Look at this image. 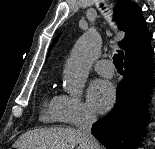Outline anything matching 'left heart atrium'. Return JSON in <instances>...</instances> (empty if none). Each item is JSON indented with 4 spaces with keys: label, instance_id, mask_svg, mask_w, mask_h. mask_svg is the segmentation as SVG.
Listing matches in <instances>:
<instances>
[{
    "label": "left heart atrium",
    "instance_id": "1",
    "mask_svg": "<svg viewBox=\"0 0 155 149\" xmlns=\"http://www.w3.org/2000/svg\"><path fill=\"white\" fill-rule=\"evenodd\" d=\"M88 101L99 113L106 112L115 101L114 87L104 80L94 81L88 90Z\"/></svg>",
    "mask_w": 155,
    "mask_h": 149
}]
</instances>
